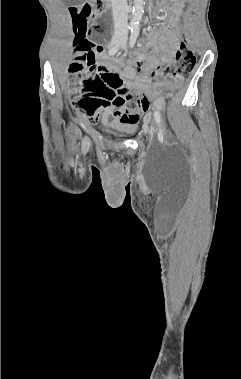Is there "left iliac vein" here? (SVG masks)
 Masks as SVG:
<instances>
[{"label": "left iliac vein", "instance_id": "4c4485c4", "mask_svg": "<svg viewBox=\"0 0 241 379\" xmlns=\"http://www.w3.org/2000/svg\"><path fill=\"white\" fill-rule=\"evenodd\" d=\"M146 132L151 137H154L157 134V128H156L155 124H152L150 127L146 128Z\"/></svg>", "mask_w": 241, "mask_h": 379}]
</instances>
